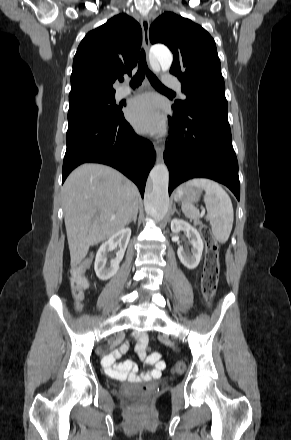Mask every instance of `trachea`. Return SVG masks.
Returning a JSON list of instances; mask_svg holds the SVG:
<instances>
[{
  "mask_svg": "<svg viewBox=\"0 0 291 440\" xmlns=\"http://www.w3.org/2000/svg\"><path fill=\"white\" fill-rule=\"evenodd\" d=\"M145 73L152 86L156 88H165V86L158 80V78L148 69L145 52L142 49L138 64V71L131 79L130 85L132 87H138L139 85H141L143 79L145 78Z\"/></svg>",
  "mask_w": 291,
  "mask_h": 440,
  "instance_id": "trachea-1",
  "label": "trachea"
}]
</instances>
